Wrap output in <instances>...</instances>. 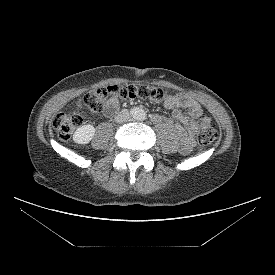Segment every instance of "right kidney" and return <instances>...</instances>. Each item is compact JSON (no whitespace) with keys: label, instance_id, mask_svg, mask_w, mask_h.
<instances>
[{"label":"right kidney","instance_id":"1","mask_svg":"<svg viewBox=\"0 0 275 275\" xmlns=\"http://www.w3.org/2000/svg\"><path fill=\"white\" fill-rule=\"evenodd\" d=\"M95 134V128L92 125L80 126L73 134V140L77 144H88Z\"/></svg>","mask_w":275,"mask_h":275}]
</instances>
